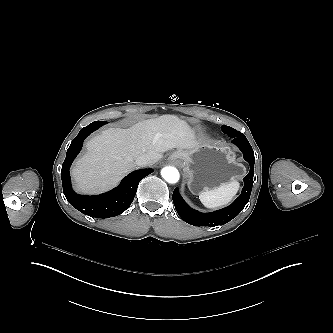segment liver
<instances>
[{
  "instance_id": "1",
  "label": "liver",
  "mask_w": 333,
  "mask_h": 333,
  "mask_svg": "<svg viewBox=\"0 0 333 333\" xmlns=\"http://www.w3.org/2000/svg\"><path fill=\"white\" fill-rule=\"evenodd\" d=\"M200 145L193 130L170 115L149 119L128 130L108 129L87 143L88 155L78 160L73 176L80 189L96 193L113 186L146 155L150 165L172 149L191 151Z\"/></svg>"
}]
</instances>
